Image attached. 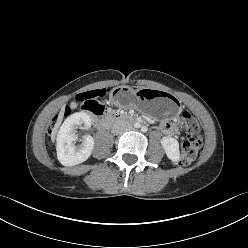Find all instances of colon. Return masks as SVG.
Listing matches in <instances>:
<instances>
[{"label":"colon","mask_w":248,"mask_h":248,"mask_svg":"<svg viewBox=\"0 0 248 248\" xmlns=\"http://www.w3.org/2000/svg\"><path fill=\"white\" fill-rule=\"evenodd\" d=\"M108 93L109 90L107 89L87 91L78 95L77 101L84 109H90L93 112L101 114L104 111L102 100ZM70 110V107H68L66 112H69ZM55 124L56 121L54 120L50 125V129ZM182 124L186 132V140L181 146V154L178 163L181 165H189L196 159L201 148V132L197 120L189 112H183Z\"/></svg>","instance_id":"colon-1"}]
</instances>
